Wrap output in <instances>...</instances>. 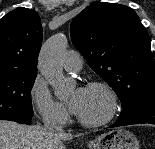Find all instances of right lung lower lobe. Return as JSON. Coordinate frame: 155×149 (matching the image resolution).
I'll return each instance as SVG.
<instances>
[{"label": "right lung lower lobe", "mask_w": 155, "mask_h": 149, "mask_svg": "<svg viewBox=\"0 0 155 149\" xmlns=\"http://www.w3.org/2000/svg\"><path fill=\"white\" fill-rule=\"evenodd\" d=\"M23 124H27V125H28V124H31V121H30V123H23Z\"/></svg>", "instance_id": "98d812e1"}]
</instances>
